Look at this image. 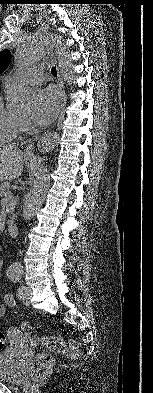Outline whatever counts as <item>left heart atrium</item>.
<instances>
[{"label":"left heart atrium","mask_w":153,"mask_h":393,"mask_svg":"<svg viewBox=\"0 0 153 393\" xmlns=\"http://www.w3.org/2000/svg\"><path fill=\"white\" fill-rule=\"evenodd\" d=\"M61 104L59 92L47 87L38 90L34 97L32 121L38 126H47L56 117Z\"/></svg>","instance_id":"39dd6f15"}]
</instances>
